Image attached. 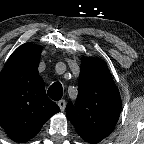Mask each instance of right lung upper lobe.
I'll return each mask as SVG.
<instances>
[{
    "instance_id": "right-lung-upper-lobe-1",
    "label": "right lung upper lobe",
    "mask_w": 144,
    "mask_h": 144,
    "mask_svg": "<svg viewBox=\"0 0 144 144\" xmlns=\"http://www.w3.org/2000/svg\"><path fill=\"white\" fill-rule=\"evenodd\" d=\"M42 47L21 45L0 74V126L16 142L33 138L60 108L45 93L38 65Z\"/></svg>"
}]
</instances>
